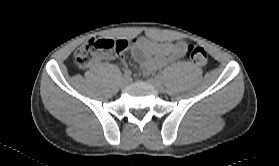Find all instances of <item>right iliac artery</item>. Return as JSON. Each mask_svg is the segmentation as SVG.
Listing matches in <instances>:
<instances>
[{"label": "right iliac artery", "instance_id": "82829eb1", "mask_svg": "<svg viewBox=\"0 0 279 166\" xmlns=\"http://www.w3.org/2000/svg\"><path fill=\"white\" fill-rule=\"evenodd\" d=\"M132 72L130 70H125L124 77L129 78L131 76Z\"/></svg>", "mask_w": 279, "mask_h": 166}]
</instances>
